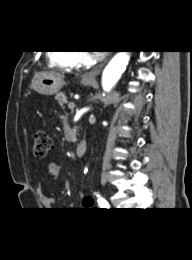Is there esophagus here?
Wrapping results in <instances>:
<instances>
[{
    "mask_svg": "<svg viewBox=\"0 0 192 260\" xmlns=\"http://www.w3.org/2000/svg\"><path fill=\"white\" fill-rule=\"evenodd\" d=\"M104 64H105V61L102 62L101 64H99L97 67H95L90 72L84 74L83 78L86 80H95L96 77L100 74Z\"/></svg>",
    "mask_w": 192,
    "mask_h": 260,
    "instance_id": "esophagus-1",
    "label": "esophagus"
}]
</instances>
